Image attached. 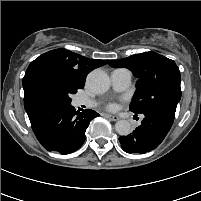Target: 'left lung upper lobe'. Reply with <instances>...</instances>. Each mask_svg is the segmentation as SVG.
Returning <instances> with one entry per match:
<instances>
[{
    "instance_id": "5c2ea615",
    "label": "left lung upper lobe",
    "mask_w": 201,
    "mask_h": 201,
    "mask_svg": "<svg viewBox=\"0 0 201 201\" xmlns=\"http://www.w3.org/2000/svg\"><path fill=\"white\" fill-rule=\"evenodd\" d=\"M111 67H125L138 78L136 92L130 104L134 113H146L157 108L176 111L181 99L180 72L175 62L155 52H145L110 61Z\"/></svg>"
}]
</instances>
